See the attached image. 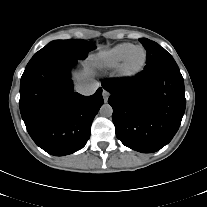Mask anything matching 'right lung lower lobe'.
I'll use <instances>...</instances> for the list:
<instances>
[{"label": "right lung lower lobe", "mask_w": 207, "mask_h": 207, "mask_svg": "<svg viewBox=\"0 0 207 207\" xmlns=\"http://www.w3.org/2000/svg\"><path fill=\"white\" fill-rule=\"evenodd\" d=\"M77 59L53 56L27 65L20 82V112L33 141L55 156L82 149L103 104L102 88L91 96L73 90L69 67Z\"/></svg>", "instance_id": "right-lung-lower-lobe-1"}]
</instances>
